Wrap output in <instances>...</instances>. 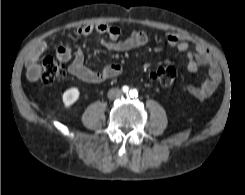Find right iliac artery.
<instances>
[{
  "instance_id": "obj_1",
  "label": "right iliac artery",
  "mask_w": 245,
  "mask_h": 195,
  "mask_svg": "<svg viewBox=\"0 0 245 195\" xmlns=\"http://www.w3.org/2000/svg\"><path fill=\"white\" fill-rule=\"evenodd\" d=\"M122 90H123V92L128 93L129 88H128L127 86H123V87H122Z\"/></svg>"
}]
</instances>
